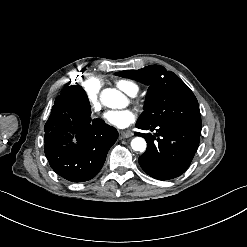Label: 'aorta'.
I'll use <instances>...</instances> for the list:
<instances>
[{"mask_svg": "<svg viewBox=\"0 0 247 247\" xmlns=\"http://www.w3.org/2000/svg\"><path fill=\"white\" fill-rule=\"evenodd\" d=\"M101 101L109 108H121L124 106L125 97L118 90L107 88L101 93ZM131 147L134 151L144 152L146 150L147 143L142 137H135L131 141Z\"/></svg>", "mask_w": 247, "mask_h": 247, "instance_id": "obj_1", "label": "aorta"}]
</instances>
